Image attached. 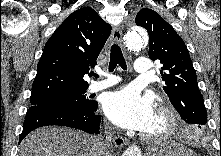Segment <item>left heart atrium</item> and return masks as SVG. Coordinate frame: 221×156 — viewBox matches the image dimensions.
<instances>
[{
    "instance_id": "obj_1",
    "label": "left heart atrium",
    "mask_w": 221,
    "mask_h": 156,
    "mask_svg": "<svg viewBox=\"0 0 221 156\" xmlns=\"http://www.w3.org/2000/svg\"><path fill=\"white\" fill-rule=\"evenodd\" d=\"M103 110L116 125L134 131H147L156 115L152 99L135 87L107 94Z\"/></svg>"
}]
</instances>
